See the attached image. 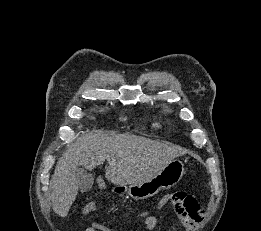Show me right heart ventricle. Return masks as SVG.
Here are the masks:
<instances>
[{
  "label": "right heart ventricle",
  "mask_w": 261,
  "mask_h": 231,
  "mask_svg": "<svg viewBox=\"0 0 261 231\" xmlns=\"http://www.w3.org/2000/svg\"><path fill=\"white\" fill-rule=\"evenodd\" d=\"M155 125L160 126V123L159 122H155Z\"/></svg>",
  "instance_id": "e07e8e85"
}]
</instances>
